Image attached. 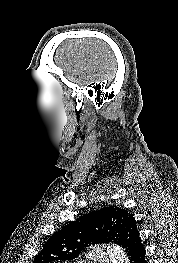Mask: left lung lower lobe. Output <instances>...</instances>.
I'll list each match as a JSON object with an SVG mask.
<instances>
[{"label": "left lung lower lobe", "instance_id": "1", "mask_svg": "<svg viewBox=\"0 0 178 263\" xmlns=\"http://www.w3.org/2000/svg\"><path fill=\"white\" fill-rule=\"evenodd\" d=\"M119 246L125 248L131 263H147L145 248L137 230L136 221L131 216L123 230Z\"/></svg>", "mask_w": 178, "mask_h": 263}]
</instances>
